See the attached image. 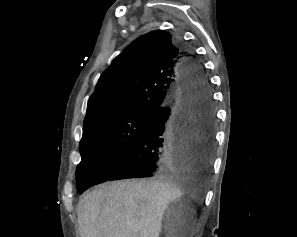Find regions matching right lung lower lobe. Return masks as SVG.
Listing matches in <instances>:
<instances>
[{"label": "right lung lower lobe", "mask_w": 297, "mask_h": 237, "mask_svg": "<svg viewBox=\"0 0 297 237\" xmlns=\"http://www.w3.org/2000/svg\"><path fill=\"white\" fill-rule=\"evenodd\" d=\"M182 73L184 81L173 99L153 112L140 137L97 184L210 170L215 122L210 87L202 66L189 52Z\"/></svg>", "instance_id": "right-lung-lower-lobe-1"}]
</instances>
